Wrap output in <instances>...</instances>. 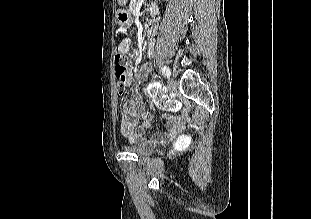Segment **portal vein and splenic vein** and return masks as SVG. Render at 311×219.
Instances as JSON below:
<instances>
[{
	"mask_svg": "<svg viewBox=\"0 0 311 219\" xmlns=\"http://www.w3.org/2000/svg\"><path fill=\"white\" fill-rule=\"evenodd\" d=\"M140 7H141V4L138 3L137 6H136V8L139 9Z\"/></svg>",
	"mask_w": 311,
	"mask_h": 219,
	"instance_id": "portal-vein-and-splenic-vein-1",
	"label": "portal vein and splenic vein"
}]
</instances>
